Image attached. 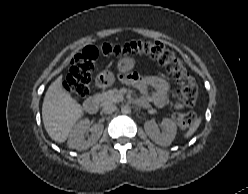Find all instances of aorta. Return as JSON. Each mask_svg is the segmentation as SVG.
<instances>
[{
  "instance_id": "aorta-1",
  "label": "aorta",
  "mask_w": 248,
  "mask_h": 194,
  "mask_svg": "<svg viewBox=\"0 0 248 194\" xmlns=\"http://www.w3.org/2000/svg\"><path fill=\"white\" fill-rule=\"evenodd\" d=\"M121 112H122L123 114H130V113H131V108H130V106H129V105H123V106L121 107Z\"/></svg>"
}]
</instances>
